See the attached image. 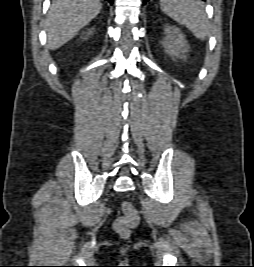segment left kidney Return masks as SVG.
Returning <instances> with one entry per match:
<instances>
[{
	"label": "left kidney",
	"instance_id": "5707ae66",
	"mask_svg": "<svg viewBox=\"0 0 254 267\" xmlns=\"http://www.w3.org/2000/svg\"><path fill=\"white\" fill-rule=\"evenodd\" d=\"M164 32L166 37L162 46L171 57L186 59L184 55L188 52L189 45L185 40V35L175 26L166 25Z\"/></svg>",
	"mask_w": 254,
	"mask_h": 267
}]
</instances>
